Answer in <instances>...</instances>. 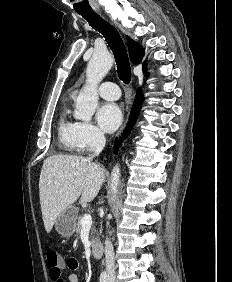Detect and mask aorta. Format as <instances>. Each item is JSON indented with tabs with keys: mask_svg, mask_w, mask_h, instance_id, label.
Returning a JSON list of instances; mask_svg holds the SVG:
<instances>
[{
	"mask_svg": "<svg viewBox=\"0 0 232 282\" xmlns=\"http://www.w3.org/2000/svg\"><path fill=\"white\" fill-rule=\"evenodd\" d=\"M113 64V58L107 50L94 52L86 69V85L76 99L74 117L82 121H90L98 105V84L102 81ZM120 181V168L115 165L111 172V199L113 200L118 191Z\"/></svg>",
	"mask_w": 232,
	"mask_h": 282,
	"instance_id": "obj_1",
	"label": "aorta"
}]
</instances>
